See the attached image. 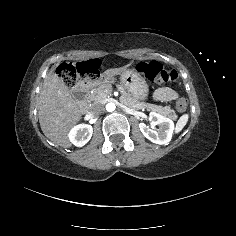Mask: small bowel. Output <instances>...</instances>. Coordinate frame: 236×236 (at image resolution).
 Instances as JSON below:
<instances>
[{
    "label": "small bowel",
    "instance_id": "c3829d8e",
    "mask_svg": "<svg viewBox=\"0 0 236 236\" xmlns=\"http://www.w3.org/2000/svg\"><path fill=\"white\" fill-rule=\"evenodd\" d=\"M155 99L160 101H171L178 97V93L171 88H160L154 94Z\"/></svg>",
    "mask_w": 236,
    "mask_h": 236
}]
</instances>
